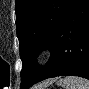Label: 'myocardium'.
<instances>
[{
    "instance_id": "myocardium-1",
    "label": "myocardium",
    "mask_w": 89,
    "mask_h": 89,
    "mask_svg": "<svg viewBox=\"0 0 89 89\" xmlns=\"http://www.w3.org/2000/svg\"><path fill=\"white\" fill-rule=\"evenodd\" d=\"M46 57H47V50L46 49H40L35 54L34 63L36 65H41L46 60Z\"/></svg>"
}]
</instances>
